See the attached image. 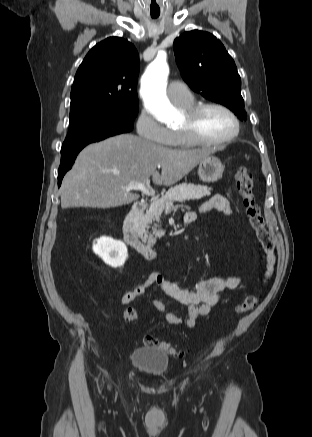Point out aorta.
<instances>
[{"label":"aorta","instance_id":"762f6f07","mask_svg":"<svg viewBox=\"0 0 312 437\" xmlns=\"http://www.w3.org/2000/svg\"><path fill=\"white\" fill-rule=\"evenodd\" d=\"M168 74L166 61L157 57L142 76L140 89L146 108L156 120L165 124H170L175 118V109L166 96Z\"/></svg>","mask_w":312,"mask_h":437}]
</instances>
